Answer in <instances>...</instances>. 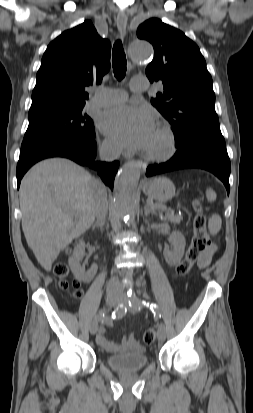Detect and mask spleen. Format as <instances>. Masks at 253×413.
Listing matches in <instances>:
<instances>
[{
  "label": "spleen",
  "mask_w": 253,
  "mask_h": 413,
  "mask_svg": "<svg viewBox=\"0 0 253 413\" xmlns=\"http://www.w3.org/2000/svg\"><path fill=\"white\" fill-rule=\"evenodd\" d=\"M206 197L207 200L212 202L216 200V193L213 189L209 188L206 190ZM222 226V220L221 217L218 214H213L208 221V229L210 234L215 235L217 234Z\"/></svg>",
  "instance_id": "obj_1"
}]
</instances>
